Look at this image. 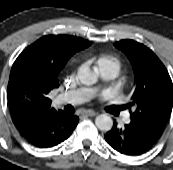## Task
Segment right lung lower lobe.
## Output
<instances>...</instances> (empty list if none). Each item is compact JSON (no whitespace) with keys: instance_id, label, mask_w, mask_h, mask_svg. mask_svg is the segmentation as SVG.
<instances>
[{"instance_id":"right-lung-lower-lobe-1","label":"right lung lower lobe","mask_w":173,"mask_h":170,"mask_svg":"<svg viewBox=\"0 0 173 170\" xmlns=\"http://www.w3.org/2000/svg\"><path fill=\"white\" fill-rule=\"evenodd\" d=\"M79 118L63 111L30 119L18 126L19 133L31 145L49 148L66 140L78 124Z\"/></svg>"}]
</instances>
